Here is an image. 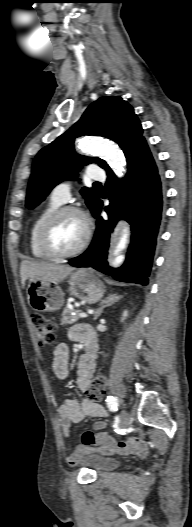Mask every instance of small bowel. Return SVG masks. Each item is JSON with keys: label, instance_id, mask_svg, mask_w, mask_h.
Wrapping results in <instances>:
<instances>
[{"label": "small bowel", "instance_id": "c3829d8e", "mask_svg": "<svg viewBox=\"0 0 192 527\" xmlns=\"http://www.w3.org/2000/svg\"><path fill=\"white\" fill-rule=\"evenodd\" d=\"M69 337L74 341L84 343L86 346V351L78 362L76 378V384L86 394V399L78 402L71 398H65L58 410L63 436L69 441V449L71 451L67 458L68 462L72 465L76 464L94 445H102L101 451L105 454H110L115 450L130 452L128 454L130 459L135 457L134 453L145 454L146 447L136 438L116 442L109 432L103 431L106 428V423L103 420L96 421L93 424L95 431H84L81 443L74 447L71 442V424L81 422L86 417L104 418L106 417V410L98 401L89 397L94 381L93 372L98 350L95 332L89 325L79 324L70 329ZM53 355L52 369L54 374L59 379H66L69 375V348L67 344H58L53 351Z\"/></svg>", "mask_w": 192, "mask_h": 527}]
</instances>
